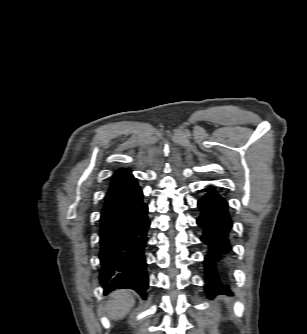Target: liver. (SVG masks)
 Wrapping results in <instances>:
<instances>
[{
  "mask_svg": "<svg viewBox=\"0 0 307 334\" xmlns=\"http://www.w3.org/2000/svg\"><path fill=\"white\" fill-rule=\"evenodd\" d=\"M135 300L130 290H115L107 302V314L112 320L123 318L133 307Z\"/></svg>",
  "mask_w": 307,
  "mask_h": 334,
  "instance_id": "6515ba94",
  "label": "liver"
}]
</instances>
